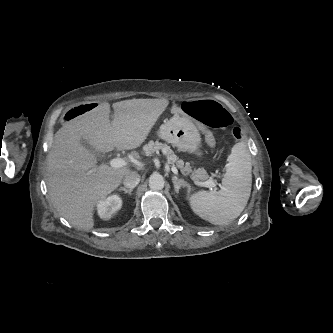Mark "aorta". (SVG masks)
Masks as SVG:
<instances>
[{
    "label": "aorta",
    "instance_id": "762f6f07",
    "mask_svg": "<svg viewBox=\"0 0 333 333\" xmlns=\"http://www.w3.org/2000/svg\"><path fill=\"white\" fill-rule=\"evenodd\" d=\"M164 178L159 173H153L149 178V187L152 190H162L164 188Z\"/></svg>",
    "mask_w": 333,
    "mask_h": 333
}]
</instances>
